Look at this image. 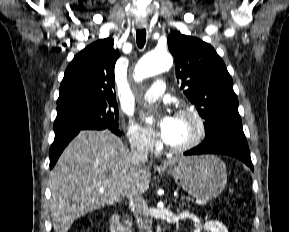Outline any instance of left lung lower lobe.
<instances>
[{"label": "left lung lower lobe", "mask_w": 289, "mask_h": 232, "mask_svg": "<svg viewBox=\"0 0 289 232\" xmlns=\"http://www.w3.org/2000/svg\"><path fill=\"white\" fill-rule=\"evenodd\" d=\"M200 154L230 155L240 159L241 161L246 163L252 171H254L245 137H228L218 139L209 143H202L197 147L184 153V155Z\"/></svg>", "instance_id": "0a47b994"}]
</instances>
